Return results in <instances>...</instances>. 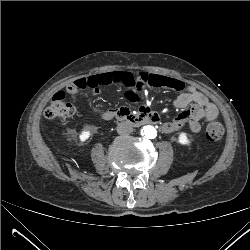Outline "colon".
Wrapping results in <instances>:
<instances>
[{
    "instance_id": "5ec220e1",
    "label": "colon",
    "mask_w": 250,
    "mask_h": 250,
    "mask_svg": "<svg viewBox=\"0 0 250 250\" xmlns=\"http://www.w3.org/2000/svg\"><path fill=\"white\" fill-rule=\"evenodd\" d=\"M166 79L159 75L143 74L135 75L128 71H110L89 78H81L67 85L65 91L57 92L53 95L45 109V116L48 119L66 121L76 114V106L68 101L67 94L75 95L84 89H96L100 86L111 84H123L130 87L131 84L148 85L150 87H160ZM224 127L220 120L210 121L206 128V137L210 141H217L222 138Z\"/></svg>"
}]
</instances>
